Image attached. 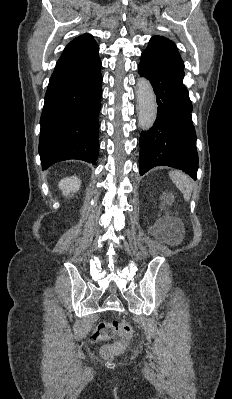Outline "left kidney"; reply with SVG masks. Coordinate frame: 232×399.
I'll use <instances>...</instances> for the list:
<instances>
[{
	"mask_svg": "<svg viewBox=\"0 0 232 399\" xmlns=\"http://www.w3.org/2000/svg\"><path fill=\"white\" fill-rule=\"evenodd\" d=\"M161 219H159V221H157V223H155V225H158V223H160ZM165 229L166 231H168V229H176L174 223H172V221H168V223H165Z\"/></svg>",
	"mask_w": 232,
	"mask_h": 399,
	"instance_id": "1",
	"label": "left kidney"
}]
</instances>
